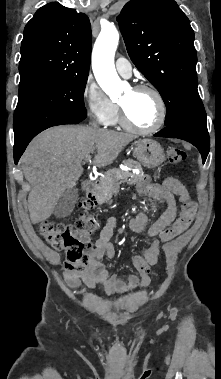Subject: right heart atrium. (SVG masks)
<instances>
[{
	"label": "right heart atrium",
	"instance_id": "obj_1",
	"mask_svg": "<svg viewBox=\"0 0 221 379\" xmlns=\"http://www.w3.org/2000/svg\"><path fill=\"white\" fill-rule=\"evenodd\" d=\"M82 98L90 116L100 124H110L117 115V105L109 99L101 87L91 78L85 83Z\"/></svg>",
	"mask_w": 221,
	"mask_h": 379
}]
</instances>
